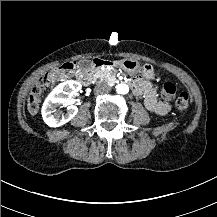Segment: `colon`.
<instances>
[{
  "label": "colon",
  "mask_w": 217,
  "mask_h": 217,
  "mask_svg": "<svg viewBox=\"0 0 217 217\" xmlns=\"http://www.w3.org/2000/svg\"><path fill=\"white\" fill-rule=\"evenodd\" d=\"M78 69V64L75 61H70L65 64V66L54 67L51 70V75L55 79H61L63 77L69 76V74L74 73ZM162 93L165 96L173 97L175 107L180 110H186L190 105L189 95L185 92L178 93L177 85L174 82H164L162 85ZM41 89L39 86H35L27 100V109L29 113L35 114L38 112L39 103H40Z\"/></svg>",
  "instance_id": "1"
}]
</instances>
